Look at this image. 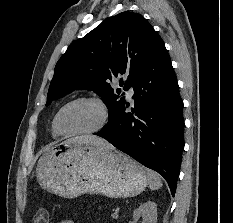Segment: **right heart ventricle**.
<instances>
[{
  "label": "right heart ventricle",
  "mask_w": 233,
  "mask_h": 223,
  "mask_svg": "<svg viewBox=\"0 0 233 223\" xmlns=\"http://www.w3.org/2000/svg\"><path fill=\"white\" fill-rule=\"evenodd\" d=\"M51 133H52V136H53L54 138H57V137L59 136V135L54 131L53 127H52Z\"/></svg>",
  "instance_id": "1"
}]
</instances>
